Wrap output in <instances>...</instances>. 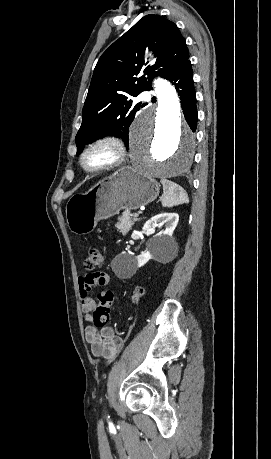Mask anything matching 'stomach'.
<instances>
[{
	"label": "stomach",
	"instance_id": "stomach-1",
	"mask_svg": "<svg viewBox=\"0 0 271 459\" xmlns=\"http://www.w3.org/2000/svg\"><path fill=\"white\" fill-rule=\"evenodd\" d=\"M159 184L146 174L123 166L109 178H103L87 194H75L67 202L69 229L78 235L90 233L99 220H107L120 210H137L154 202Z\"/></svg>",
	"mask_w": 271,
	"mask_h": 459
}]
</instances>
